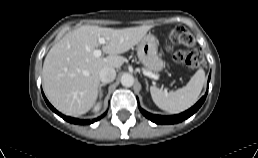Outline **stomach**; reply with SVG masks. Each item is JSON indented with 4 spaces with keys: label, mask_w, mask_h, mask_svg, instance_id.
<instances>
[{
    "label": "stomach",
    "mask_w": 258,
    "mask_h": 158,
    "mask_svg": "<svg viewBox=\"0 0 258 158\" xmlns=\"http://www.w3.org/2000/svg\"><path fill=\"white\" fill-rule=\"evenodd\" d=\"M139 61L149 70L160 72L164 62L158 55V40L152 34L145 35L137 47Z\"/></svg>",
    "instance_id": "0dacf381"
}]
</instances>
